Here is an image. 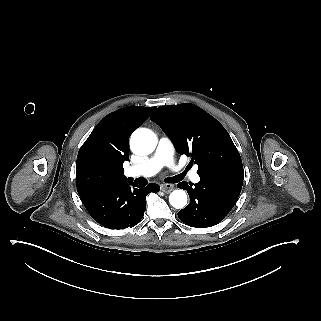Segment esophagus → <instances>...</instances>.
Here are the masks:
<instances>
[{
  "label": "esophagus",
  "instance_id": "34e87169",
  "mask_svg": "<svg viewBox=\"0 0 321 321\" xmlns=\"http://www.w3.org/2000/svg\"><path fill=\"white\" fill-rule=\"evenodd\" d=\"M173 189H174V185L173 184H162L161 185V190L164 193H170Z\"/></svg>",
  "mask_w": 321,
  "mask_h": 321
}]
</instances>
